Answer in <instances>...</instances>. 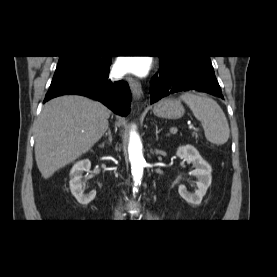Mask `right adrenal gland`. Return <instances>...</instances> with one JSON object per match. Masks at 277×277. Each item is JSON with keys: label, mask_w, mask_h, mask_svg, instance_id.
<instances>
[{"label": "right adrenal gland", "mask_w": 277, "mask_h": 277, "mask_svg": "<svg viewBox=\"0 0 277 277\" xmlns=\"http://www.w3.org/2000/svg\"><path fill=\"white\" fill-rule=\"evenodd\" d=\"M106 136H108L109 144L112 143V135L110 129H108V132L106 133ZM104 143L100 145V148H104Z\"/></svg>", "instance_id": "2a0ac1e0"}]
</instances>
